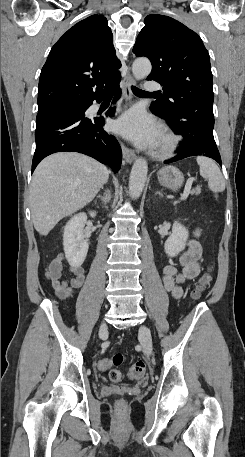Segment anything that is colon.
Listing matches in <instances>:
<instances>
[{"label":"colon","instance_id":"colon-1","mask_svg":"<svg viewBox=\"0 0 245 457\" xmlns=\"http://www.w3.org/2000/svg\"><path fill=\"white\" fill-rule=\"evenodd\" d=\"M211 274L207 272L201 276L196 286V289L193 291V298L197 299L201 293L207 289L211 282ZM123 361V356L121 354H115L110 358H104L99 361L98 368L101 371H109V377L111 381L118 382L122 379V373L118 369H114V366H119ZM145 374V365L143 362H136L129 367L128 375L131 379L139 380ZM126 403L123 399H119L116 402V407L120 410L124 409Z\"/></svg>","mask_w":245,"mask_h":457}]
</instances>
